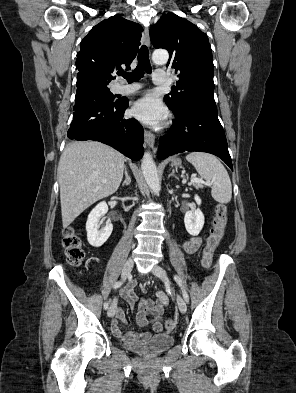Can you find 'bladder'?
Wrapping results in <instances>:
<instances>
[{
	"mask_svg": "<svg viewBox=\"0 0 296 393\" xmlns=\"http://www.w3.org/2000/svg\"><path fill=\"white\" fill-rule=\"evenodd\" d=\"M174 344V337L169 334H156L147 340L140 342H125L128 350L135 351L142 355H155L161 353Z\"/></svg>",
	"mask_w": 296,
	"mask_h": 393,
	"instance_id": "31cf9c89",
	"label": "bladder"
}]
</instances>
